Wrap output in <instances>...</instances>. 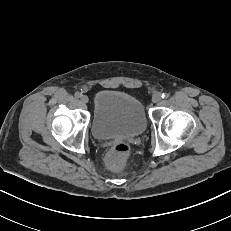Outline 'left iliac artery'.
Masks as SVG:
<instances>
[{
  "label": "left iliac artery",
  "mask_w": 231,
  "mask_h": 231,
  "mask_svg": "<svg viewBox=\"0 0 231 231\" xmlns=\"http://www.w3.org/2000/svg\"><path fill=\"white\" fill-rule=\"evenodd\" d=\"M163 99H166L169 97V94L168 93H163L162 96H161Z\"/></svg>",
  "instance_id": "44dca946"
}]
</instances>
